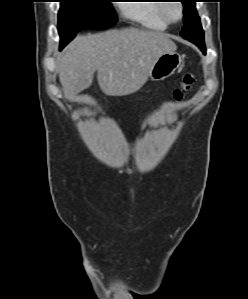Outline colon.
<instances>
[{"label": "colon", "mask_w": 248, "mask_h": 299, "mask_svg": "<svg viewBox=\"0 0 248 299\" xmlns=\"http://www.w3.org/2000/svg\"><path fill=\"white\" fill-rule=\"evenodd\" d=\"M195 83L196 78L194 74L188 73L184 75L180 86L176 88L172 93L173 100L176 102L183 100L187 93L193 88Z\"/></svg>", "instance_id": "5ec220e1"}]
</instances>
